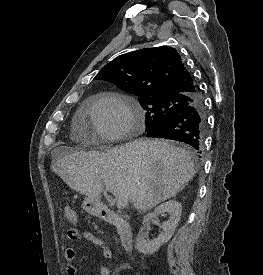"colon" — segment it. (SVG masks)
<instances>
[{"label":"colon","instance_id":"1","mask_svg":"<svg viewBox=\"0 0 263 275\" xmlns=\"http://www.w3.org/2000/svg\"><path fill=\"white\" fill-rule=\"evenodd\" d=\"M63 212H64V217L68 222L74 223L77 221L78 215L76 210L73 207L65 206L63 209Z\"/></svg>","mask_w":263,"mask_h":275}]
</instances>
